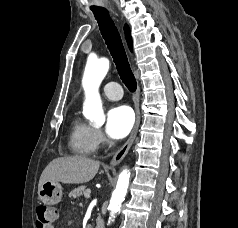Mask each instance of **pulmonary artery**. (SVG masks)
I'll use <instances>...</instances> for the list:
<instances>
[{
	"instance_id": "pulmonary-artery-1",
	"label": "pulmonary artery",
	"mask_w": 238,
	"mask_h": 228,
	"mask_svg": "<svg viewBox=\"0 0 238 228\" xmlns=\"http://www.w3.org/2000/svg\"><path fill=\"white\" fill-rule=\"evenodd\" d=\"M102 91L103 94L111 100H119L123 95L121 86L116 82L107 83Z\"/></svg>"
}]
</instances>
